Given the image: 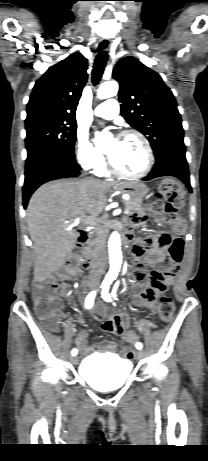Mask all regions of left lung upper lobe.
<instances>
[{
  "mask_svg": "<svg viewBox=\"0 0 208 461\" xmlns=\"http://www.w3.org/2000/svg\"><path fill=\"white\" fill-rule=\"evenodd\" d=\"M121 114L151 143L155 156L171 146H185L175 98L161 76L138 59L122 58L114 67Z\"/></svg>",
  "mask_w": 208,
  "mask_h": 461,
  "instance_id": "5c2ea615",
  "label": "left lung upper lobe"
}]
</instances>
